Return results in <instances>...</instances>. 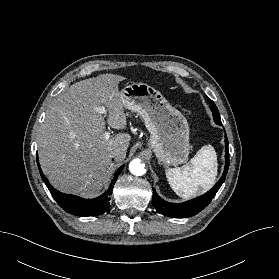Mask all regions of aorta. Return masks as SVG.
Wrapping results in <instances>:
<instances>
[{"label": "aorta", "mask_w": 279, "mask_h": 279, "mask_svg": "<svg viewBox=\"0 0 279 279\" xmlns=\"http://www.w3.org/2000/svg\"><path fill=\"white\" fill-rule=\"evenodd\" d=\"M129 170L133 175H136V176L144 175L146 172L140 159L132 160L129 164Z\"/></svg>", "instance_id": "obj_1"}]
</instances>
